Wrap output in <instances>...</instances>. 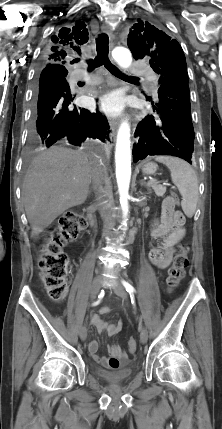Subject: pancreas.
<instances>
[{
	"instance_id": "pancreas-1",
	"label": "pancreas",
	"mask_w": 222,
	"mask_h": 429,
	"mask_svg": "<svg viewBox=\"0 0 222 429\" xmlns=\"http://www.w3.org/2000/svg\"><path fill=\"white\" fill-rule=\"evenodd\" d=\"M148 186L154 190L158 197H163L166 192V187L158 184V182H152Z\"/></svg>"
}]
</instances>
